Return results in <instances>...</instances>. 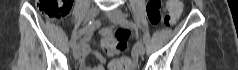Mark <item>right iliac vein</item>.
<instances>
[{"instance_id":"right-iliac-vein-1","label":"right iliac vein","mask_w":238,"mask_h":70,"mask_svg":"<svg viewBox=\"0 0 238 70\" xmlns=\"http://www.w3.org/2000/svg\"><path fill=\"white\" fill-rule=\"evenodd\" d=\"M99 13V9L97 7H92L90 8V10L88 11L86 17H85V23L93 20ZM73 55H74V58L75 59H79L80 56H81V47H80V44H77L75 47H74V50H73Z\"/></svg>"}]
</instances>
